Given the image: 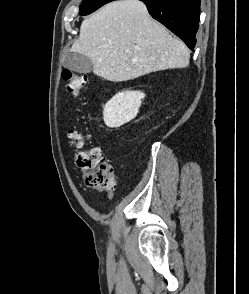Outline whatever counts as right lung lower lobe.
Listing matches in <instances>:
<instances>
[{
  "label": "right lung lower lobe",
  "instance_id": "right-lung-lower-lobe-1",
  "mask_svg": "<svg viewBox=\"0 0 249 294\" xmlns=\"http://www.w3.org/2000/svg\"><path fill=\"white\" fill-rule=\"evenodd\" d=\"M150 15L193 50L199 27L200 0H141Z\"/></svg>",
  "mask_w": 249,
  "mask_h": 294
}]
</instances>
